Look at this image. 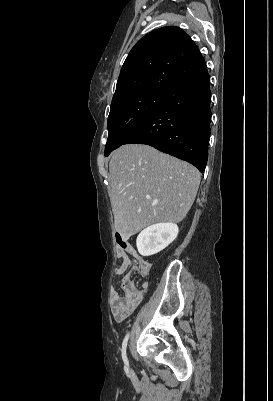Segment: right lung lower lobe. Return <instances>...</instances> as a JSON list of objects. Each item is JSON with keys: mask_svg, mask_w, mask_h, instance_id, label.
Listing matches in <instances>:
<instances>
[{"mask_svg": "<svg viewBox=\"0 0 273 401\" xmlns=\"http://www.w3.org/2000/svg\"><path fill=\"white\" fill-rule=\"evenodd\" d=\"M210 102V76L206 68L168 91L123 144L153 146L204 172L210 137Z\"/></svg>", "mask_w": 273, "mask_h": 401, "instance_id": "obj_1", "label": "right lung lower lobe"}]
</instances>
